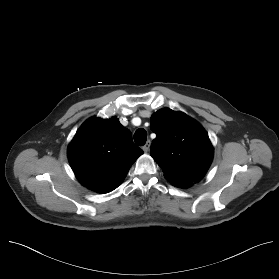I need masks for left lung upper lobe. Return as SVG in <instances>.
<instances>
[{"instance_id": "left-lung-upper-lobe-1", "label": "left lung upper lobe", "mask_w": 279, "mask_h": 279, "mask_svg": "<svg viewBox=\"0 0 279 279\" xmlns=\"http://www.w3.org/2000/svg\"><path fill=\"white\" fill-rule=\"evenodd\" d=\"M150 122L156 134L150 154L165 178L198 183L213 159V147L204 128L185 113L169 108L155 112Z\"/></svg>"}]
</instances>
